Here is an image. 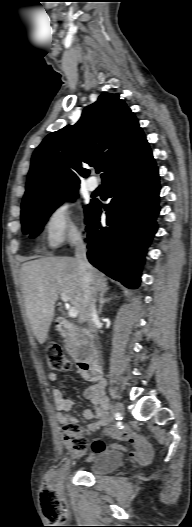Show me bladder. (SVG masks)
Segmentation results:
<instances>
[{
  "label": "bladder",
  "mask_w": 192,
  "mask_h": 527,
  "mask_svg": "<svg viewBox=\"0 0 192 527\" xmlns=\"http://www.w3.org/2000/svg\"><path fill=\"white\" fill-rule=\"evenodd\" d=\"M123 454L115 450L93 453L87 460V470L93 475H104L118 469L123 464Z\"/></svg>",
  "instance_id": "obj_1"
}]
</instances>
